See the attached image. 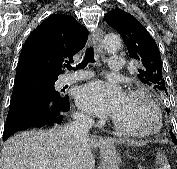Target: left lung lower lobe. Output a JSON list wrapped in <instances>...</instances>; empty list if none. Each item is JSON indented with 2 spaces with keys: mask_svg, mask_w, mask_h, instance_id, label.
<instances>
[{
  "mask_svg": "<svg viewBox=\"0 0 177 169\" xmlns=\"http://www.w3.org/2000/svg\"><path fill=\"white\" fill-rule=\"evenodd\" d=\"M172 141H173V143H174V144H177V142H176V139H175V138H172Z\"/></svg>",
  "mask_w": 177,
  "mask_h": 169,
  "instance_id": "0a47b994",
  "label": "left lung lower lobe"
}]
</instances>
